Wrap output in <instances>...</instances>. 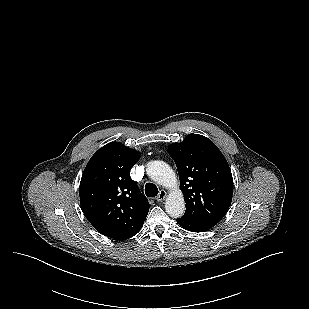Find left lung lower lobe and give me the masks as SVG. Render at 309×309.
Returning a JSON list of instances; mask_svg holds the SVG:
<instances>
[{"label": "left lung lower lobe", "mask_w": 309, "mask_h": 309, "mask_svg": "<svg viewBox=\"0 0 309 309\" xmlns=\"http://www.w3.org/2000/svg\"><path fill=\"white\" fill-rule=\"evenodd\" d=\"M177 223L185 230L191 232H204L213 227L207 223L201 222L199 220L187 216H182L181 218L177 219Z\"/></svg>", "instance_id": "obj_1"}]
</instances>
